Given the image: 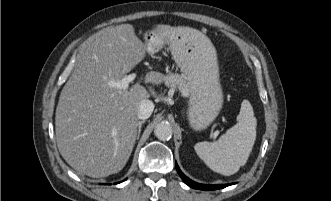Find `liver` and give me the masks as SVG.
<instances>
[{
  "label": "liver",
  "instance_id": "1",
  "mask_svg": "<svg viewBox=\"0 0 331 201\" xmlns=\"http://www.w3.org/2000/svg\"><path fill=\"white\" fill-rule=\"evenodd\" d=\"M155 40L164 45L176 27L157 25ZM145 44L130 24L101 30L80 52L64 85L55 113L56 142L64 160L80 174L107 177L123 169L133 150L138 108L150 97L139 83L128 90L109 85L121 80L145 57ZM165 79L146 74L155 85Z\"/></svg>",
  "mask_w": 331,
  "mask_h": 201
}]
</instances>
